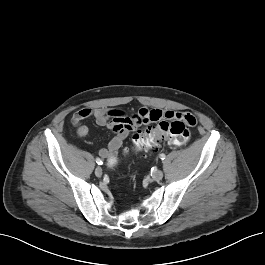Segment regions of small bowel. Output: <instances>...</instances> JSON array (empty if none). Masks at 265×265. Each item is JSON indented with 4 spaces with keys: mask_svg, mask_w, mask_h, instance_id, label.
<instances>
[{
    "mask_svg": "<svg viewBox=\"0 0 265 265\" xmlns=\"http://www.w3.org/2000/svg\"><path fill=\"white\" fill-rule=\"evenodd\" d=\"M149 112L146 109H140L128 115L124 110L113 108H82L75 112L71 122L77 127V134L81 138L89 135L90 129L81 122L89 117H94L99 126H105L113 132L114 136L106 147L99 150V156L107 159L115 155L121 148L124 140L143 124L149 123ZM167 117L177 118L186 121L192 115L187 112H163Z\"/></svg>",
    "mask_w": 265,
    "mask_h": 265,
    "instance_id": "c3829d8e",
    "label": "small bowel"
}]
</instances>
